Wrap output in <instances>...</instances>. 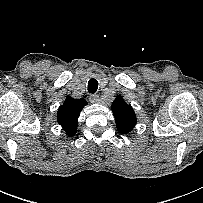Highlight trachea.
<instances>
[{
    "instance_id": "1",
    "label": "trachea",
    "mask_w": 203,
    "mask_h": 203,
    "mask_svg": "<svg viewBox=\"0 0 203 203\" xmlns=\"http://www.w3.org/2000/svg\"><path fill=\"white\" fill-rule=\"evenodd\" d=\"M98 89V81L96 79H90L88 82V92L95 93Z\"/></svg>"
}]
</instances>
